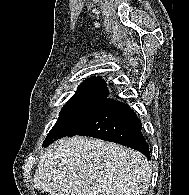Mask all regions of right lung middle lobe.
<instances>
[{
    "instance_id": "right-lung-middle-lobe-1",
    "label": "right lung middle lobe",
    "mask_w": 189,
    "mask_h": 195,
    "mask_svg": "<svg viewBox=\"0 0 189 195\" xmlns=\"http://www.w3.org/2000/svg\"><path fill=\"white\" fill-rule=\"evenodd\" d=\"M107 97V94L76 92L64 105L59 119L48 133L43 147L76 132Z\"/></svg>"
}]
</instances>
